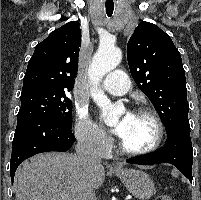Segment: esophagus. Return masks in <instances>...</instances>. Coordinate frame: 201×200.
Wrapping results in <instances>:
<instances>
[{
    "mask_svg": "<svg viewBox=\"0 0 201 200\" xmlns=\"http://www.w3.org/2000/svg\"><path fill=\"white\" fill-rule=\"evenodd\" d=\"M113 167L116 168V169H120L122 167V165L120 163H118V162H114Z\"/></svg>",
    "mask_w": 201,
    "mask_h": 200,
    "instance_id": "obj_1",
    "label": "esophagus"
}]
</instances>
